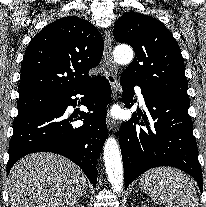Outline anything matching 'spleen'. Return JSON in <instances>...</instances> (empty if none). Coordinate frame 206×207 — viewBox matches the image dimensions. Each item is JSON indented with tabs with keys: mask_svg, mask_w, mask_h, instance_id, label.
<instances>
[{
	"mask_svg": "<svg viewBox=\"0 0 206 207\" xmlns=\"http://www.w3.org/2000/svg\"><path fill=\"white\" fill-rule=\"evenodd\" d=\"M141 189L152 201L166 207H199L193 183L180 170L155 168L140 178Z\"/></svg>",
	"mask_w": 206,
	"mask_h": 207,
	"instance_id": "1",
	"label": "spleen"
}]
</instances>
